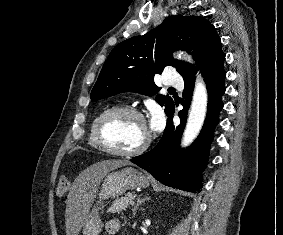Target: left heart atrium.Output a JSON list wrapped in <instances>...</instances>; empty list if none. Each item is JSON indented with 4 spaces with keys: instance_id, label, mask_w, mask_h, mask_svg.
<instances>
[{
    "instance_id": "left-heart-atrium-1",
    "label": "left heart atrium",
    "mask_w": 283,
    "mask_h": 235,
    "mask_svg": "<svg viewBox=\"0 0 283 235\" xmlns=\"http://www.w3.org/2000/svg\"><path fill=\"white\" fill-rule=\"evenodd\" d=\"M149 127L153 131H157V130L161 129V127H162L161 119L158 118V117L152 118V120L150 121Z\"/></svg>"
}]
</instances>
